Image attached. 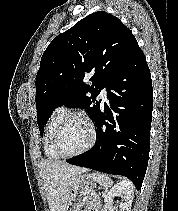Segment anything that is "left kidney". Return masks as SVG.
I'll use <instances>...</instances> for the list:
<instances>
[{"label": "left kidney", "mask_w": 178, "mask_h": 211, "mask_svg": "<svg viewBox=\"0 0 178 211\" xmlns=\"http://www.w3.org/2000/svg\"><path fill=\"white\" fill-rule=\"evenodd\" d=\"M115 197H121L122 202L119 205V211H131V206L134 197V189L132 183L128 180H123L111 188L105 195V206L111 207Z\"/></svg>", "instance_id": "1"}]
</instances>
